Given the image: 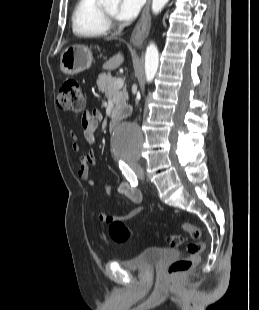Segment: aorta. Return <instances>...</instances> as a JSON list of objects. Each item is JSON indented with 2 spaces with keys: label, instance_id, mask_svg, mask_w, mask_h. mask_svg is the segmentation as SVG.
Returning a JSON list of instances; mask_svg holds the SVG:
<instances>
[{
  "label": "aorta",
  "instance_id": "762f6f07",
  "mask_svg": "<svg viewBox=\"0 0 259 310\" xmlns=\"http://www.w3.org/2000/svg\"><path fill=\"white\" fill-rule=\"evenodd\" d=\"M120 0H104L105 4H118ZM169 0H152V12L158 14ZM159 52L154 43H150L145 54V75L147 82H151L158 70ZM115 153L121 157H135L142 148L143 133L141 129L130 123L122 124L115 132Z\"/></svg>",
  "mask_w": 259,
  "mask_h": 310
}]
</instances>
